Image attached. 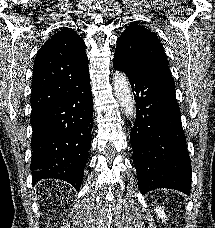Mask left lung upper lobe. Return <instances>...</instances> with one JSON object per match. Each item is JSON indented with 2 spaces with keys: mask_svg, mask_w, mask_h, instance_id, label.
<instances>
[{
  "mask_svg": "<svg viewBox=\"0 0 215 228\" xmlns=\"http://www.w3.org/2000/svg\"><path fill=\"white\" fill-rule=\"evenodd\" d=\"M114 58L136 71H170L158 37L135 23L127 26L118 38Z\"/></svg>",
  "mask_w": 215,
  "mask_h": 228,
  "instance_id": "5c2ea615",
  "label": "left lung upper lobe"
}]
</instances>
